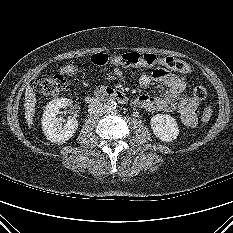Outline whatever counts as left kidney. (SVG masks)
Returning a JSON list of instances; mask_svg holds the SVG:
<instances>
[{"label":"left kidney","mask_w":233,"mask_h":233,"mask_svg":"<svg viewBox=\"0 0 233 233\" xmlns=\"http://www.w3.org/2000/svg\"><path fill=\"white\" fill-rule=\"evenodd\" d=\"M151 128L154 135L164 142H171L179 135L176 120L167 114H156L151 118Z\"/></svg>","instance_id":"5707ae66"}]
</instances>
